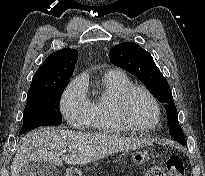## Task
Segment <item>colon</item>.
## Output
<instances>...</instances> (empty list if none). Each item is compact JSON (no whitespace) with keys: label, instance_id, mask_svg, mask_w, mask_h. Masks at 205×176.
<instances>
[{"label":"colon","instance_id":"obj_1","mask_svg":"<svg viewBox=\"0 0 205 176\" xmlns=\"http://www.w3.org/2000/svg\"><path fill=\"white\" fill-rule=\"evenodd\" d=\"M167 173L159 168H152L149 176H185V170L182 160L177 155H170L166 160ZM80 172L76 168L68 169L65 176H80Z\"/></svg>","mask_w":205,"mask_h":176}]
</instances>
